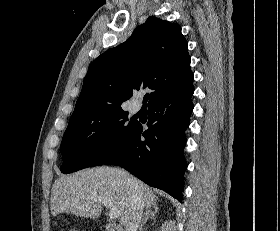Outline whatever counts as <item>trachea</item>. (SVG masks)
Instances as JSON below:
<instances>
[{
  "label": "trachea",
  "instance_id": "1",
  "mask_svg": "<svg viewBox=\"0 0 280 231\" xmlns=\"http://www.w3.org/2000/svg\"><path fill=\"white\" fill-rule=\"evenodd\" d=\"M148 99H149V94H146V95L144 96V98H143V104H144V105L146 104V102L148 101Z\"/></svg>",
  "mask_w": 280,
  "mask_h": 231
}]
</instances>
